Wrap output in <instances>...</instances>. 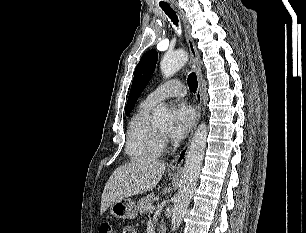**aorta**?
Here are the masks:
<instances>
[{
    "instance_id": "obj_1",
    "label": "aorta",
    "mask_w": 306,
    "mask_h": 233,
    "mask_svg": "<svg viewBox=\"0 0 306 233\" xmlns=\"http://www.w3.org/2000/svg\"><path fill=\"white\" fill-rule=\"evenodd\" d=\"M188 61V54L183 50L166 53L160 63V69L165 78L173 76ZM172 116L166 107H161L155 113V122L158 125L171 123ZM207 141V127L201 123L192 138L186 156L184 169L179 183V190L174 198L171 220V231L176 232L190 204L200 174Z\"/></svg>"
}]
</instances>
